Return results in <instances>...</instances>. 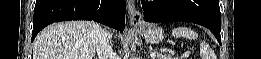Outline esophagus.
Wrapping results in <instances>:
<instances>
[{"label":"esophagus","instance_id":"obj_1","mask_svg":"<svg viewBox=\"0 0 261 59\" xmlns=\"http://www.w3.org/2000/svg\"><path fill=\"white\" fill-rule=\"evenodd\" d=\"M127 10L129 14L130 24L133 26H138L142 22V14L139 10L136 9L134 1H127Z\"/></svg>","mask_w":261,"mask_h":59}]
</instances>
